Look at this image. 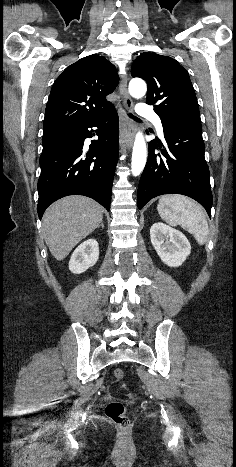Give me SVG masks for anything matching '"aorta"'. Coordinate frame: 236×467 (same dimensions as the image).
<instances>
[{"mask_svg":"<svg viewBox=\"0 0 236 467\" xmlns=\"http://www.w3.org/2000/svg\"><path fill=\"white\" fill-rule=\"evenodd\" d=\"M147 85L144 80L135 78L129 83V93L135 98H141L146 94ZM147 161V147L142 132H138L135 136L131 171L133 176H138L144 170Z\"/></svg>","mask_w":236,"mask_h":467,"instance_id":"762f6f07","label":"aorta"}]
</instances>
